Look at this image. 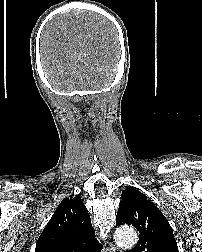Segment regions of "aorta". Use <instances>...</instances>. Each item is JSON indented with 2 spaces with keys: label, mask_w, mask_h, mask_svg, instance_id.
Instances as JSON below:
<instances>
[{
  "label": "aorta",
  "mask_w": 202,
  "mask_h": 252,
  "mask_svg": "<svg viewBox=\"0 0 202 252\" xmlns=\"http://www.w3.org/2000/svg\"><path fill=\"white\" fill-rule=\"evenodd\" d=\"M114 239L118 246L131 248L137 243L138 236L132 227L125 226L116 229Z\"/></svg>",
  "instance_id": "obj_1"
}]
</instances>
